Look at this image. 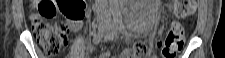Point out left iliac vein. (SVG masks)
I'll return each instance as SVG.
<instances>
[{"instance_id":"1","label":"left iliac vein","mask_w":225,"mask_h":58,"mask_svg":"<svg viewBox=\"0 0 225 58\" xmlns=\"http://www.w3.org/2000/svg\"><path fill=\"white\" fill-rule=\"evenodd\" d=\"M118 34V28L116 24V20H108L107 21V35L109 39H113Z\"/></svg>"}]
</instances>
